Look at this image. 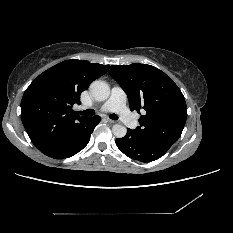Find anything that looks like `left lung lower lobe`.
I'll use <instances>...</instances> for the list:
<instances>
[{"label": "left lung lower lobe", "instance_id": "1", "mask_svg": "<svg viewBox=\"0 0 233 233\" xmlns=\"http://www.w3.org/2000/svg\"><path fill=\"white\" fill-rule=\"evenodd\" d=\"M116 145L126 156L141 162H151L162 157L168 147L152 144L136 136L127 129V134L123 138L116 139Z\"/></svg>", "mask_w": 233, "mask_h": 233}]
</instances>
